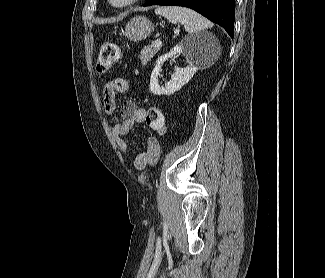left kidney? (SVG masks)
<instances>
[{
	"instance_id": "5707ae66",
	"label": "left kidney",
	"mask_w": 325,
	"mask_h": 278,
	"mask_svg": "<svg viewBox=\"0 0 325 278\" xmlns=\"http://www.w3.org/2000/svg\"><path fill=\"white\" fill-rule=\"evenodd\" d=\"M207 46V41L200 36L185 37L178 45H176L169 53L162 55L154 67L150 78V91L155 95H172L180 90L186 83H188L194 74L199 70V61L203 50ZM182 54L189 66L186 68L175 67L171 80L165 85L159 84L158 76L161 72L163 63L175 55Z\"/></svg>"
}]
</instances>
